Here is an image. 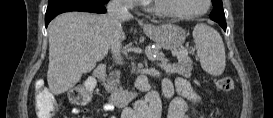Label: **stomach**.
<instances>
[{"label": "stomach", "mask_w": 273, "mask_h": 118, "mask_svg": "<svg viewBox=\"0 0 273 118\" xmlns=\"http://www.w3.org/2000/svg\"><path fill=\"white\" fill-rule=\"evenodd\" d=\"M144 31L160 47L173 50L180 47L185 39L186 32L175 24L147 25Z\"/></svg>", "instance_id": "0dacf381"}]
</instances>
